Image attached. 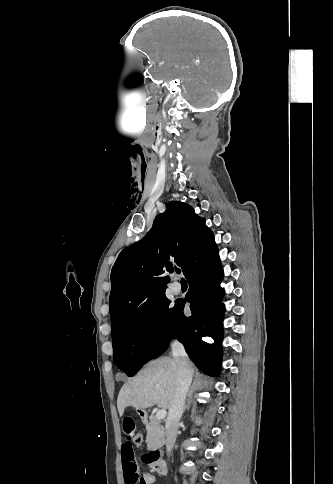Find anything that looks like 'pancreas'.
Wrapping results in <instances>:
<instances>
[{"label": "pancreas", "instance_id": "cf45deb5", "mask_svg": "<svg viewBox=\"0 0 333 484\" xmlns=\"http://www.w3.org/2000/svg\"><path fill=\"white\" fill-rule=\"evenodd\" d=\"M150 422L147 423V437L146 443L148 450H155L160 448L164 442V427L161 425L160 420H157L156 417H150Z\"/></svg>", "mask_w": 333, "mask_h": 484}]
</instances>
